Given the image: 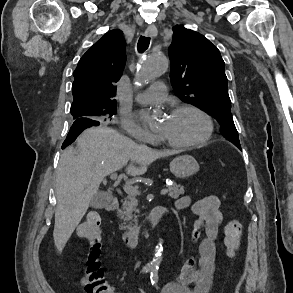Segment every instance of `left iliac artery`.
Wrapping results in <instances>:
<instances>
[{"label":"left iliac artery","instance_id":"1","mask_svg":"<svg viewBox=\"0 0 293 293\" xmlns=\"http://www.w3.org/2000/svg\"><path fill=\"white\" fill-rule=\"evenodd\" d=\"M150 278H151V283H152V285H154V286L157 287V282H158V271H157V269H153V270L151 271V276H150Z\"/></svg>","mask_w":293,"mask_h":293}]
</instances>
